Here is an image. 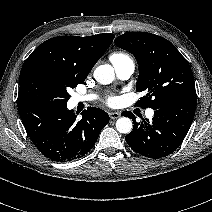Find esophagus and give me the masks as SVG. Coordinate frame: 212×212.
Listing matches in <instances>:
<instances>
[{
	"mask_svg": "<svg viewBox=\"0 0 212 212\" xmlns=\"http://www.w3.org/2000/svg\"><path fill=\"white\" fill-rule=\"evenodd\" d=\"M109 116H110L111 119L115 120V119L120 117V113H118V112H110Z\"/></svg>",
	"mask_w": 212,
	"mask_h": 212,
	"instance_id": "esophagus-1",
	"label": "esophagus"
}]
</instances>
